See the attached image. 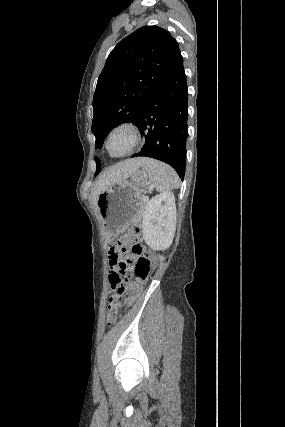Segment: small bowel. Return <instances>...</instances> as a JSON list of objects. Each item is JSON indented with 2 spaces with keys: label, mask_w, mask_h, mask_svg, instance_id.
I'll return each mask as SVG.
<instances>
[{
  "label": "small bowel",
  "mask_w": 285,
  "mask_h": 427,
  "mask_svg": "<svg viewBox=\"0 0 285 427\" xmlns=\"http://www.w3.org/2000/svg\"><path fill=\"white\" fill-rule=\"evenodd\" d=\"M126 255L125 254H122V255H115L114 254V249H113V247L110 249V259H109V264H110V266H111V268H110V274H120L121 273V271H120V269H119V267H118V264H117V262L119 261V260H125L126 259ZM115 261V262H114ZM134 299H129V303H131L132 301H133Z\"/></svg>",
  "instance_id": "obj_1"
}]
</instances>
